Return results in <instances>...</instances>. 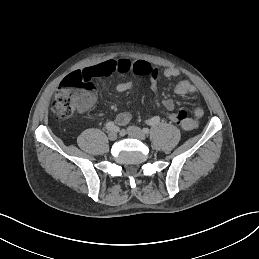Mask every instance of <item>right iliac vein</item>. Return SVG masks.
<instances>
[{
	"mask_svg": "<svg viewBox=\"0 0 259 259\" xmlns=\"http://www.w3.org/2000/svg\"><path fill=\"white\" fill-rule=\"evenodd\" d=\"M108 138H109V140H111V141L116 140V139H117V133H116L115 131L109 132V133H108Z\"/></svg>",
	"mask_w": 259,
	"mask_h": 259,
	"instance_id": "1",
	"label": "right iliac vein"
}]
</instances>
